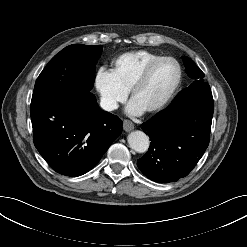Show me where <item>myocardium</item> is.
Returning <instances> with one entry per match:
<instances>
[{"instance_id": "obj_1", "label": "myocardium", "mask_w": 247, "mask_h": 247, "mask_svg": "<svg viewBox=\"0 0 247 247\" xmlns=\"http://www.w3.org/2000/svg\"><path fill=\"white\" fill-rule=\"evenodd\" d=\"M169 60L172 61L177 68V77L176 80L172 86V88L169 90V92L166 94V96L157 104L153 105L152 107L148 108L146 111L149 113L157 112L164 108L170 100L173 98V96L176 94L181 81H182V67L180 63L172 56H159L158 58L152 60L149 62L144 69L141 71V73L138 75V77L135 79L134 83L131 86L130 89V96L133 99L136 92L145 84L147 81L150 73L152 72L153 68L161 61Z\"/></svg>"}]
</instances>
